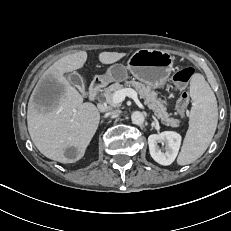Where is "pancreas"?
Listing matches in <instances>:
<instances>
[{
    "instance_id": "cf45deb5",
    "label": "pancreas",
    "mask_w": 231,
    "mask_h": 231,
    "mask_svg": "<svg viewBox=\"0 0 231 231\" xmlns=\"http://www.w3.org/2000/svg\"><path fill=\"white\" fill-rule=\"evenodd\" d=\"M126 87H133L139 93L141 98L144 99L145 104H147L148 108L154 112L155 116L160 119L163 124L172 127H178L180 125V120L170 117V114L167 113V108L163 100L158 97V94L154 90H152L151 87L135 80H126L124 85L116 82L105 88L102 95L105 98L106 103L110 107H119V103L115 104L112 102L113 94L116 91L124 89Z\"/></svg>"
}]
</instances>
